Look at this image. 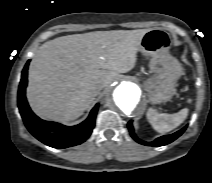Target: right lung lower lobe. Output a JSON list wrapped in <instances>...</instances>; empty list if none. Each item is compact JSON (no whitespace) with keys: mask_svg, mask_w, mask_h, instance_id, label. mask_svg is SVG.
<instances>
[{"mask_svg":"<svg viewBox=\"0 0 212 183\" xmlns=\"http://www.w3.org/2000/svg\"><path fill=\"white\" fill-rule=\"evenodd\" d=\"M28 65L29 61L22 71L18 90V107L27 129L39 141L53 148L61 149L83 143L94 128L98 104L92 109L89 117L84 122L72 127L38 118L30 109L25 97ZM51 131L55 133L53 134Z\"/></svg>","mask_w":212,"mask_h":183,"instance_id":"98d812e1","label":"right lung lower lobe"}]
</instances>
